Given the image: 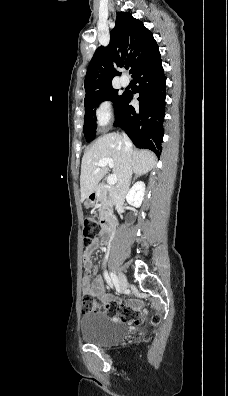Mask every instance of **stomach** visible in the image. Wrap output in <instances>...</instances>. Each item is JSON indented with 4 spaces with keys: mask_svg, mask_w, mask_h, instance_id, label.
I'll list each match as a JSON object with an SVG mask.
<instances>
[{
    "mask_svg": "<svg viewBox=\"0 0 228 396\" xmlns=\"http://www.w3.org/2000/svg\"><path fill=\"white\" fill-rule=\"evenodd\" d=\"M96 200H97V194L93 192L86 198L84 202L85 207L86 208L92 207L95 204Z\"/></svg>",
    "mask_w": 228,
    "mask_h": 396,
    "instance_id": "0dacf381",
    "label": "stomach"
}]
</instances>
